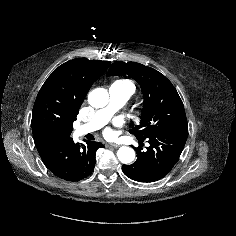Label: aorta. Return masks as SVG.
<instances>
[{
  "instance_id": "1",
  "label": "aorta",
  "mask_w": 236,
  "mask_h": 236,
  "mask_svg": "<svg viewBox=\"0 0 236 236\" xmlns=\"http://www.w3.org/2000/svg\"><path fill=\"white\" fill-rule=\"evenodd\" d=\"M109 94L104 88H96L88 95V102L92 107L102 108L108 104ZM117 157L124 164L131 163L135 158V151L131 147L122 146L117 151Z\"/></svg>"
}]
</instances>
